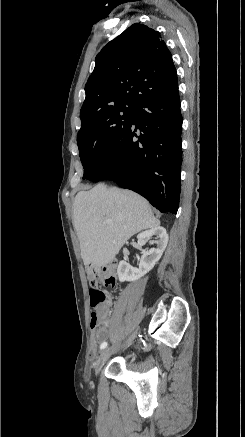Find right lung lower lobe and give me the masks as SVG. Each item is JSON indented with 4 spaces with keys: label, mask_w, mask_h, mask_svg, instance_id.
<instances>
[{
    "label": "right lung lower lobe",
    "mask_w": 245,
    "mask_h": 437,
    "mask_svg": "<svg viewBox=\"0 0 245 437\" xmlns=\"http://www.w3.org/2000/svg\"><path fill=\"white\" fill-rule=\"evenodd\" d=\"M178 87L135 105L132 121L108 156L87 178L112 180L145 197L160 212L176 214L182 163Z\"/></svg>",
    "instance_id": "98d812e1"
}]
</instances>
